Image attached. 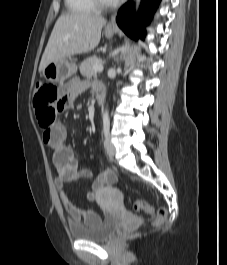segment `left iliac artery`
Wrapping results in <instances>:
<instances>
[{
    "instance_id": "1",
    "label": "left iliac artery",
    "mask_w": 227,
    "mask_h": 265,
    "mask_svg": "<svg viewBox=\"0 0 227 265\" xmlns=\"http://www.w3.org/2000/svg\"><path fill=\"white\" fill-rule=\"evenodd\" d=\"M109 129H110V123H109V121H105L104 124H103V130H104L105 137L108 136Z\"/></svg>"
}]
</instances>
